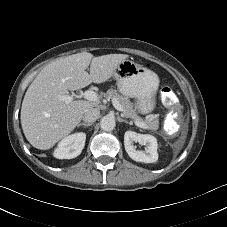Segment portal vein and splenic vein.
<instances>
[{
    "mask_svg": "<svg viewBox=\"0 0 227 227\" xmlns=\"http://www.w3.org/2000/svg\"><path fill=\"white\" fill-rule=\"evenodd\" d=\"M82 95L85 99H87L89 101L98 102V95L96 94V92H94L92 90H87ZM59 99L61 101L65 102L66 104H69L70 102L73 101L74 97H73V95H61V96H59ZM112 103H113V106L117 110H119V111L123 110L122 106L118 103V101L114 100V101H112ZM134 123L136 126L146 129L145 123H143L139 120H136V119L134 120Z\"/></svg>",
    "mask_w": 227,
    "mask_h": 227,
    "instance_id": "portal-vein-and-splenic-vein-1",
    "label": "portal vein and splenic vein"
}]
</instances>
